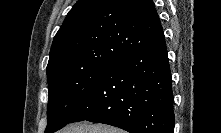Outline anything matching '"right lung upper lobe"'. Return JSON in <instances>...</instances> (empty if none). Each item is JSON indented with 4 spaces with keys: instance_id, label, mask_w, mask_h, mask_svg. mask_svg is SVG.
Listing matches in <instances>:
<instances>
[{
    "instance_id": "cb5924a9",
    "label": "right lung upper lobe",
    "mask_w": 221,
    "mask_h": 133,
    "mask_svg": "<svg viewBox=\"0 0 221 133\" xmlns=\"http://www.w3.org/2000/svg\"><path fill=\"white\" fill-rule=\"evenodd\" d=\"M163 41L152 0H78L53 39L47 75L67 67L111 65Z\"/></svg>"
}]
</instances>
